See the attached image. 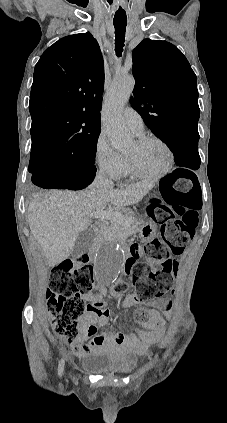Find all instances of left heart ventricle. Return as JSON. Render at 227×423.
Here are the masks:
<instances>
[{"mask_svg":"<svg viewBox=\"0 0 227 423\" xmlns=\"http://www.w3.org/2000/svg\"><path fill=\"white\" fill-rule=\"evenodd\" d=\"M127 154L134 158L141 171L149 174L159 173L168 161L167 152L157 142H150L145 145H138L134 142Z\"/></svg>","mask_w":227,"mask_h":423,"instance_id":"obj_1","label":"left heart ventricle"}]
</instances>
